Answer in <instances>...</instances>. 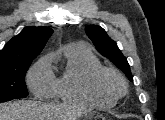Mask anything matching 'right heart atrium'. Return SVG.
Here are the masks:
<instances>
[{"instance_id": "right-heart-atrium-1", "label": "right heart atrium", "mask_w": 165, "mask_h": 120, "mask_svg": "<svg viewBox=\"0 0 165 120\" xmlns=\"http://www.w3.org/2000/svg\"><path fill=\"white\" fill-rule=\"evenodd\" d=\"M54 78L48 57H43L30 69L27 82L36 96L46 97L53 93Z\"/></svg>"}]
</instances>
